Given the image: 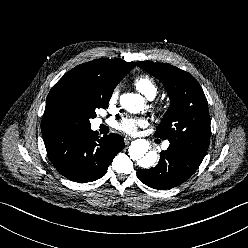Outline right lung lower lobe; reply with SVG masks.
I'll return each mask as SVG.
<instances>
[{
	"mask_svg": "<svg viewBox=\"0 0 248 248\" xmlns=\"http://www.w3.org/2000/svg\"><path fill=\"white\" fill-rule=\"evenodd\" d=\"M47 154L58 172L78 183L95 181L107 172L124 148V139L111 133L97 137L90 129L63 130L43 135Z\"/></svg>",
	"mask_w": 248,
	"mask_h": 248,
	"instance_id": "98d812e1",
	"label": "right lung lower lobe"
}]
</instances>
